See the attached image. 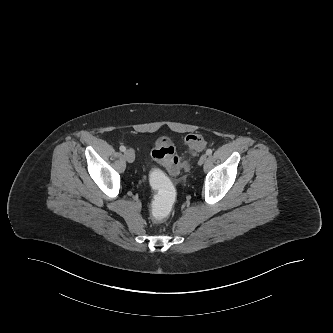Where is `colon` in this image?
Returning <instances> with one entry per match:
<instances>
[{
	"label": "colon",
	"instance_id": "5ec220e1",
	"mask_svg": "<svg viewBox=\"0 0 333 333\" xmlns=\"http://www.w3.org/2000/svg\"><path fill=\"white\" fill-rule=\"evenodd\" d=\"M191 153L195 154L205 147L204 137L200 134H190L185 140ZM154 160L160 163L171 175H177L187 170L189 164L176 154L175 146L169 137L159 138L151 152ZM150 179L155 186L152 200L153 210L149 213V220L153 224H161L170 213L174 203L175 192L172 179L161 168H154L150 172Z\"/></svg>",
	"mask_w": 333,
	"mask_h": 333
}]
</instances>
